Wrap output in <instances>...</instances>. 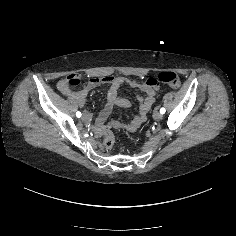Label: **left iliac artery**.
Wrapping results in <instances>:
<instances>
[{
    "label": "left iliac artery",
    "instance_id": "obj_1",
    "mask_svg": "<svg viewBox=\"0 0 236 236\" xmlns=\"http://www.w3.org/2000/svg\"><path fill=\"white\" fill-rule=\"evenodd\" d=\"M165 111H166L165 108H161V109H160V113H161V114H164Z\"/></svg>",
    "mask_w": 236,
    "mask_h": 236
}]
</instances>
